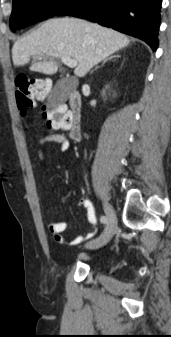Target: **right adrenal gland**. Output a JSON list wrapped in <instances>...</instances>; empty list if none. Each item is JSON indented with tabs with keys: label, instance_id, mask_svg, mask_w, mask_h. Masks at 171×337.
Returning a JSON list of instances; mask_svg holds the SVG:
<instances>
[{
	"label": "right adrenal gland",
	"instance_id": "1",
	"mask_svg": "<svg viewBox=\"0 0 171 337\" xmlns=\"http://www.w3.org/2000/svg\"><path fill=\"white\" fill-rule=\"evenodd\" d=\"M115 57H120V55H114V56H111V57H108V58L104 59L102 65H103L106 61L111 60L112 58H115ZM97 68H98V67H96V69H97ZM92 72H93V71H92ZM92 72H91V73H92Z\"/></svg>",
	"mask_w": 171,
	"mask_h": 337
}]
</instances>
